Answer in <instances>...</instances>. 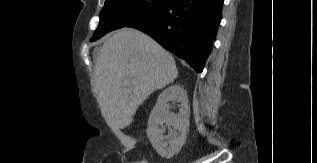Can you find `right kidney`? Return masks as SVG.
Wrapping results in <instances>:
<instances>
[{"label":"right kidney","mask_w":317,"mask_h":163,"mask_svg":"<svg viewBox=\"0 0 317 163\" xmlns=\"http://www.w3.org/2000/svg\"><path fill=\"white\" fill-rule=\"evenodd\" d=\"M170 101L179 103L178 114L169 112L168 103ZM189 116L188 96L182 87L172 85L159 95L157 103L149 116L147 136L153 148L161 157L170 159L180 152L189 130ZM164 124L172 127L170 134L167 136L163 135L165 131Z\"/></svg>","instance_id":"1"}]
</instances>
